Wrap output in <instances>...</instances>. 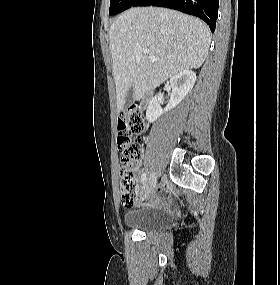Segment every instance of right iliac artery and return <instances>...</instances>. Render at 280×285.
Here are the masks:
<instances>
[{
	"instance_id": "right-iliac-artery-1",
	"label": "right iliac artery",
	"mask_w": 280,
	"mask_h": 285,
	"mask_svg": "<svg viewBox=\"0 0 280 285\" xmlns=\"http://www.w3.org/2000/svg\"><path fill=\"white\" fill-rule=\"evenodd\" d=\"M145 180H146V173H143L141 176V182L144 183Z\"/></svg>"
}]
</instances>
